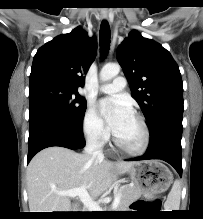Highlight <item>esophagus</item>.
Masks as SVG:
<instances>
[{
    "label": "esophagus",
    "instance_id": "34e87169",
    "mask_svg": "<svg viewBox=\"0 0 203 219\" xmlns=\"http://www.w3.org/2000/svg\"><path fill=\"white\" fill-rule=\"evenodd\" d=\"M102 17H103L104 19H107V18H108V14H107L106 12H102Z\"/></svg>",
    "mask_w": 203,
    "mask_h": 219
}]
</instances>
